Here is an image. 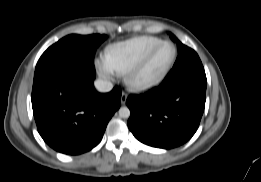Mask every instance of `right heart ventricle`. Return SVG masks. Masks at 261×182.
Segmentation results:
<instances>
[{
  "mask_svg": "<svg viewBox=\"0 0 261 182\" xmlns=\"http://www.w3.org/2000/svg\"><path fill=\"white\" fill-rule=\"evenodd\" d=\"M162 42L154 36H138L108 47L106 59L112 69L118 73H126L152 47Z\"/></svg>",
  "mask_w": 261,
  "mask_h": 182,
  "instance_id": "e07e8e85",
  "label": "right heart ventricle"
}]
</instances>
